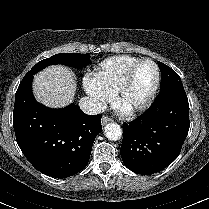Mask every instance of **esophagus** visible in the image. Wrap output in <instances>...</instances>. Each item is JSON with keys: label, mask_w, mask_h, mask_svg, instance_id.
I'll use <instances>...</instances> for the list:
<instances>
[{"label": "esophagus", "mask_w": 209, "mask_h": 209, "mask_svg": "<svg viewBox=\"0 0 209 209\" xmlns=\"http://www.w3.org/2000/svg\"><path fill=\"white\" fill-rule=\"evenodd\" d=\"M112 119L107 117V116H103L102 119H101V124L102 126H105L107 123L111 122Z\"/></svg>", "instance_id": "esophagus-1"}]
</instances>
